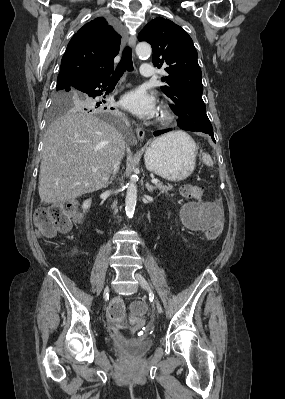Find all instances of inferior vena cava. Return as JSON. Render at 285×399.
I'll return each mask as SVG.
<instances>
[{"label": "inferior vena cava", "mask_w": 285, "mask_h": 399, "mask_svg": "<svg viewBox=\"0 0 285 399\" xmlns=\"http://www.w3.org/2000/svg\"><path fill=\"white\" fill-rule=\"evenodd\" d=\"M120 143L123 144V148H124V143L122 141H120ZM122 156H123V153H120L119 156L117 157L115 163H114V166H113V173L114 174L119 170L120 160H121ZM116 205H117V203L114 202L113 203V209L115 210V212H117Z\"/></svg>", "instance_id": "1"}]
</instances>
